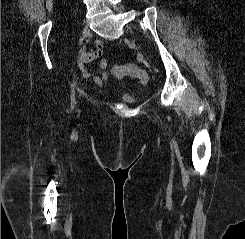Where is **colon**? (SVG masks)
Returning a JSON list of instances; mask_svg holds the SVG:
<instances>
[{"mask_svg": "<svg viewBox=\"0 0 245 239\" xmlns=\"http://www.w3.org/2000/svg\"><path fill=\"white\" fill-rule=\"evenodd\" d=\"M112 72L116 77L129 75L130 77L139 80L142 84H146L149 79L148 74L144 70L133 64L115 65L112 67Z\"/></svg>", "mask_w": 245, "mask_h": 239, "instance_id": "5ec220e1", "label": "colon"}]
</instances>
